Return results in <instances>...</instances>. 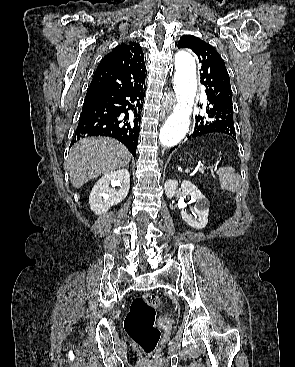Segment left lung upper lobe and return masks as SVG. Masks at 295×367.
<instances>
[{
  "label": "left lung upper lobe",
  "mask_w": 295,
  "mask_h": 367,
  "mask_svg": "<svg viewBox=\"0 0 295 367\" xmlns=\"http://www.w3.org/2000/svg\"><path fill=\"white\" fill-rule=\"evenodd\" d=\"M178 48L191 49L201 63L200 81L206 87L207 97L232 103L230 78L221 56L208 43L193 35H183Z\"/></svg>",
  "instance_id": "left-lung-upper-lobe-1"
}]
</instances>
